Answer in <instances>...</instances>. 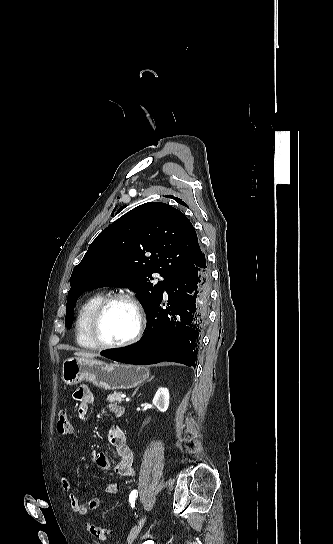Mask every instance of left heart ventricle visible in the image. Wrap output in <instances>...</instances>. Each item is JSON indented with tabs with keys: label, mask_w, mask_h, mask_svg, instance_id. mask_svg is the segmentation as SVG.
<instances>
[{
	"label": "left heart ventricle",
	"mask_w": 333,
	"mask_h": 544,
	"mask_svg": "<svg viewBox=\"0 0 333 544\" xmlns=\"http://www.w3.org/2000/svg\"><path fill=\"white\" fill-rule=\"evenodd\" d=\"M137 317L127 302L112 303L104 312L99 325L100 338L106 343H118L128 339L135 331Z\"/></svg>",
	"instance_id": "1"
}]
</instances>
